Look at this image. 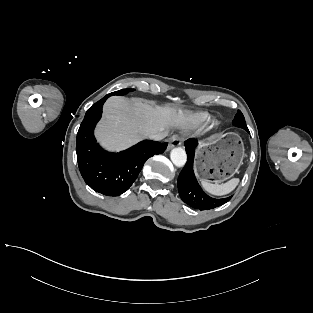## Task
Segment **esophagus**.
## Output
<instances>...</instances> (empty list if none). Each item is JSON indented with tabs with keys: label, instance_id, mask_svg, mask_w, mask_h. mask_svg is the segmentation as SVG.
<instances>
[{
	"label": "esophagus",
	"instance_id": "34e87169",
	"mask_svg": "<svg viewBox=\"0 0 313 313\" xmlns=\"http://www.w3.org/2000/svg\"><path fill=\"white\" fill-rule=\"evenodd\" d=\"M179 145H181V140L179 138H173L169 143V148L171 149Z\"/></svg>",
	"mask_w": 313,
	"mask_h": 313
}]
</instances>
